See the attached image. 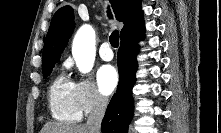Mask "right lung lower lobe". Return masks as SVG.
<instances>
[{"mask_svg": "<svg viewBox=\"0 0 221 133\" xmlns=\"http://www.w3.org/2000/svg\"><path fill=\"white\" fill-rule=\"evenodd\" d=\"M143 30L121 39L118 50L119 84L103 118L102 133H127L133 115L132 87L136 79L138 42L143 38Z\"/></svg>", "mask_w": 221, "mask_h": 133, "instance_id": "1", "label": "right lung lower lobe"}]
</instances>
